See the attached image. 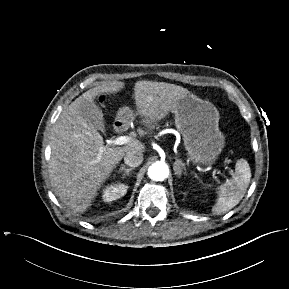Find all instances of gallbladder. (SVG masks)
<instances>
[{"label":"gallbladder","mask_w":289,"mask_h":289,"mask_svg":"<svg viewBox=\"0 0 289 289\" xmlns=\"http://www.w3.org/2000/svg\"><path fill=\"white\" fill-rule=\"evenodd\" d=\"M83 112L84 118H86L89 123H92L96 129L103 130V113L98 106H89L87 108H84Z\"/></svg>","instance_id":"1"}]
</instances>
